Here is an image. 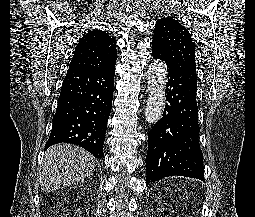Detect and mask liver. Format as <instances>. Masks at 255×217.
Returning <instances> with one entry per match:
<instances>
[{
  "instance_id": "liver-1",
  "label": "liver",
  "mask_w": 255,
  "mask_h": 217,
  "mask_svg": "<svg viewBox=\"0 0 255 217\" xmlns=\"http://www.w3.org/2000/svg\"><path fill=\"white\" fill-rule=\"evenodd\" d=\"M94 157L71 144L50 147L44 156L40 186L50 192L83 181L94 170Z\"/></svg>"
}]
</instances>
